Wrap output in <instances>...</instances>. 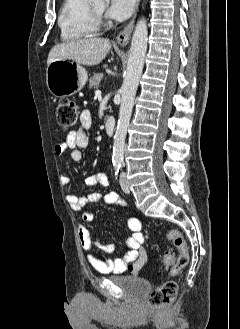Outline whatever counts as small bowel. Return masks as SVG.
Returning a JSON list of instances; mask_svg holds the SVG:
<instances>
[{"label": "small bowel", "mask_w": 240, "mask_h": 329, "mask_svg": "<svg viewBox=\"0 0 240 329\" xmlns=\"http://www.w3.org/2000/svg\"><path fill=\"white\" fill-rule=\"evenodd\" d=\"M92 123V115L89 110L82 111L80 115V126L77 130L71 131L64 142L55 145L54 152L57 157H62L66 151L70 150V158L74 162H80L83 159L82 148L88 145L87 130ZM60 181L63 185L69 183V177L65 174L61 175ZM108 186L109 179L106 173L98 172L86 178L85 185L92 187L94 185ZM67 202L74 211L81 212V220L88 223L93 220V214L85 210L88 203H94L101 199V195L97 192H91L87 195L68 194ZM104 201L108 204L117 206H126L127 203L117 193H109L104 197ZM81 223L78 227L79 242L86 254L87 262L99 273H123L130 272L138 275L147 261V252L142 247L144 243V235L142 233V225L136 217H130L127 220V226L131 231L125 241L126 252L123 257L111 260L106 257H98L93 253L94 247H97L105 253H113L115 246L109 243H103L93 240L88 228Z\"/></svg>", "instance_id": "obj_1"}]
</instances>
